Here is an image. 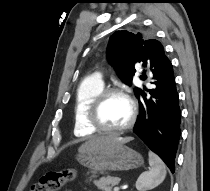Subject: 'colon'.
<instances>
[{"label":"colon","instance_id":"1","mask_svg":"<svg viewBox=\"0 0 210 191\" xmlns=\"http://www.w3.org/2000/svg\"><path fill=\"white\" fill-rule=\"evenodd\" d=\"M75 177L76 171L72 168L49 171L32 186L31 191H60L66 184L72 182Z\"/></svg>","mask_w":210,"mask_h":191}]
</instances>
